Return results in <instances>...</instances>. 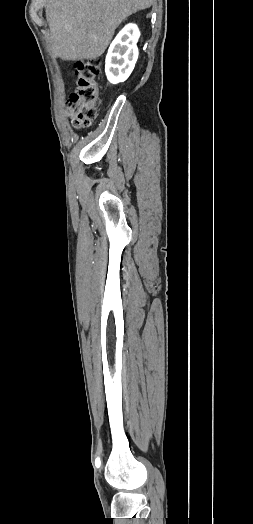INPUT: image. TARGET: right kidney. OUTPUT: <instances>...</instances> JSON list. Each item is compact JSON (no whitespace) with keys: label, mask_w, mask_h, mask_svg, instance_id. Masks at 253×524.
<instances>
[{"label":"right kidney","mask_w":253,"mask_h":524,"mask_svg":"<svg viewBox=\"0 0 253 524\" xmlns=\"http://www.w3.org/2000/svg\"><path fill=\"white\" fill-rule=\"evenodd\" d=\"M140 32L135 24L126 25L111 43L105 60L107 79L117 84L132 73L138 59L137 41Z\"/></svg>","instance_id":"1"}]
</instances>
